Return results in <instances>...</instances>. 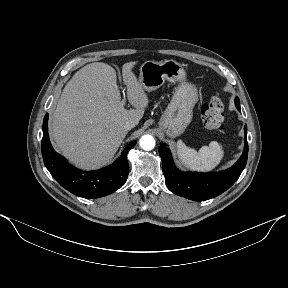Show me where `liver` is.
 Returning <instances> with one entry per match:
<instances>
[{
	"label": "liver",
	"instance_id": "1",
	"mask_svg": "<svg viewBox=\"0 0 288 288\" xmlns=\"http://www.w3.org/2000/svg\"><path fill=\"white\" fill-rule=\"evenodd\" d=\"M137 62L122 66L127 98L134 109H125L113 67L95 62L77 71L64 87L53 112L50 134L55 145L73 164L96 169L112 160L127 135L124 124H137L148 106V96L132 68Z\"/></svg>",
	"mask_w": 288,
	"mask_h": 288
}]
</instances>
